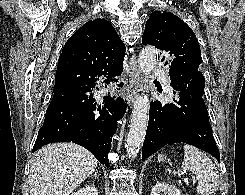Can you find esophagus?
I'll list each match as a JSON object with an SVG mask.
<instances>
[{
  "mask_svg": "<svg viewBox=\"0 0 245 195\" xmlns=\"http://www.w3.org/2000/svg\"><path fill=\"white\" fill-rule=\"evenodd\" d=\"M140 81H141V74L136 61V55H133V57L130 60L129 85L127 88V95H126V100L129 105H131L134 101V98L137 94V90L140 85Z\"/></svg>",
  "mask_w": 245,
  "mask_h": 195,
  "instance_id": "esophagus-1",
  "label": "esophagus"
}]
</instances>
